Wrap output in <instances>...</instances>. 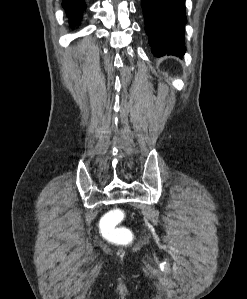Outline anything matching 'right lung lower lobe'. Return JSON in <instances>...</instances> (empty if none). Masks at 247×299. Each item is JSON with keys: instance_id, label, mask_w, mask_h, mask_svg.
Masks as SVG:
<instances>
[{"instance_id": "obj_1", "label": "right lung lower lobe", "mask_w": 247, "mask_h": 299, "mask_svg": "<svg viewBox=\"0 0 247 299\" xmlns=\"http://www.w3.org/2000/svg\"><path fill=\"white\" fill-rule=\"evenodd\" d=\"M62 5L69 17V22L71 26H76L80 23V18L86 4L84 0H63Z\"/></svg>"}]
</instances>
